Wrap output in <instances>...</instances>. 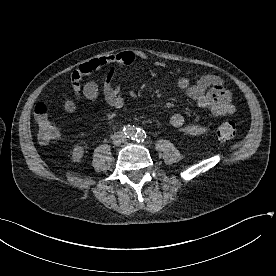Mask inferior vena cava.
Segmentation results:
<instances>
[{"instance_id":"obj_1","label":"inferior vena cava","mask_w":276,"mask_h":276,"mask_svg":"<svg viewBox=\"0 0 276 276\" xmlns=\"http://www.w3.org/2000/svg\"><path fill=\"white\" fill-rule=\"evenodd\" d=\"M124 134L123 133H119L116 137V140L114 141L116 144H121L122 142H124Z\"/></svg>"}]
</instances>
